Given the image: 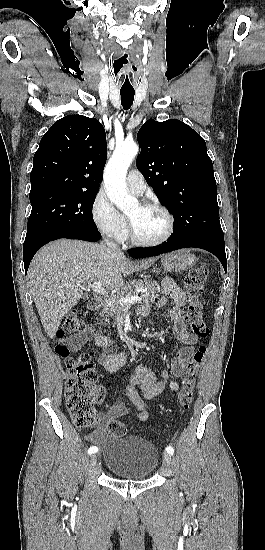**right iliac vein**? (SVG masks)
Listing matches in <instances>:
<instances>
[{"label":"right iliac vein","mask_w":265,"mask_h":550,"mask_svg":"<svg viewBox=\"0 0 265 550\" xmlns=\"http://www.w3.org/2000/svg\"><path fill=\"white\" fill-rule=\"evenodd\" d=\"M90 464L92 467H95L97 465V456L95 454L91 456Z\"/></svg>","instance_id":"obj_1"}]
</instances>
